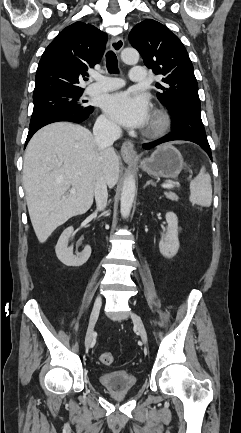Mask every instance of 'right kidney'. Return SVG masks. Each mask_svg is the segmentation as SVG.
Here are the masks:
<instances>
[{
	"label": "right kidney",
	"instance_id": "ca27d5eb",
	"mask_svg": "<svg viewBox=\"0 0 241 433\" xmlns=\"http://www.w3.org/2000/svg\"><path fill=\"white\" fill-rule=\"evenodd\" d=\"M73 227H68L66 228L58 242L57 245L55 247V252H56V256L57 258L66 266H73V267H79L81 265H83L84 263L87 262V260L89 259L90 255H91V247L90 246H85L84 250L77 254L74 255L73 252L71 251L70 248H68V242H69V238L72 236L73 234Z\"/></svg>",
	"mask_w": 241,
	"mask_h": 433
}]
</instances>
